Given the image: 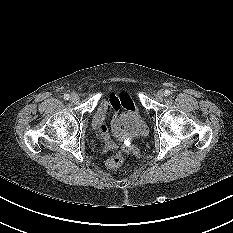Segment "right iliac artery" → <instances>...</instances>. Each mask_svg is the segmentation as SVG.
Segmentation results:
<instances>
[{
    "mask_svg": "<svg viewBox=\"0 0 233 233\" xmlns=\"http://www.w3.org/2000/svg\"><path fill=\"white\" fill-rule=\"evenodd\" d=\"M69 98H70V95H69V94H65V95H64V99H65V100H69Z\"/></svg>",
    "mask_w": 233,
    "mask_h": 233,
    "instance_id": "right-iliac-artery-1",
    "label": "right iliac artery"
}]
</instances>
